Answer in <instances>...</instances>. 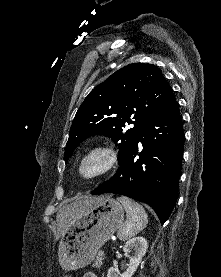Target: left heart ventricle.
I'll return each instance as SVG.
<instances>
[{
    "label": "left heart ventricle",
    "instance_id": "b2bd125f",
    "mask_svg": "<svg viewBox=\"0 0 221 277\" xmlns=\"http://www.w3.org/2000/svg\"><path fill=\"white\" fill-rule=\"evenodd\" d=\"M98 166V161L97 160H91L87 162L83 168L85 173H91L94 171Z\"/></svg>",
    "mask_w": 221,
    "mask_h": 277
}]
</instances>
